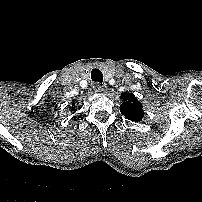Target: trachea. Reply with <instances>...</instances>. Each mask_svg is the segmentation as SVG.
Masks as SVG:
<instances>
[{
  "mask_svg": "<svg viewBox=\"0 0 202 202\" xmlns=\"http://www.w3.org/2000/svg\"><path fill=\"white\" fill-rule=\"evenodd\" d=\"M91 79L94 82H99L102 83L103 82V74L99 69H93L91 71Z\"/></svg>",
  "mask_w": 202,
  "mask_h": 202,
  "instance_id": "obj_1",
  "label": "trachea"
}]
</instances>
